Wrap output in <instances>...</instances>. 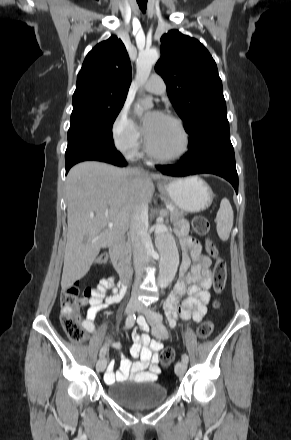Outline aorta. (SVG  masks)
I'll return each mask as SVG.
<instances>
[{
  "instance_id": "aorta-1",
  "label": "aorta",
  "mask_w": 291,
  "mask_h": 440,
  "mask_svg": "<svg viewBox=\"0 0 291 440\" xmlns=\"http://www.w3.org/2000/svg\"><path fill=\"white\" fill-rule=\"evenodd\" d=\"M160 55L157 49L152 48L139 53L136 61V79L143 85L149 78L153 65L158 61ZM153 107L150 97H146L141 105L136 106L135 112L141 115L145 110ZM155 245L160 254V270L158 283L166 287L172 281L179 262L178 250L173 235L164 224L155 226Z\"/></svg>"
}]
</instances>
